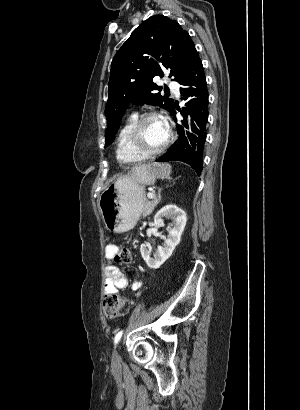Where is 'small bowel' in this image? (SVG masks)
I'll use <instances>...</instances> for the list:
<instances>
[{"instance_id": "c3829d8e", "label": "small bowel", "mask_w": 300, "mask_h": 410, "mask_svg": "<svg viewBox=\"0 0 300 410\" xmlns=\"http://www.w3.org/2000/svg\"><path fill=\"white\" fill-rule=\"evenodd\" d=\"M118 247L116 244H108L105 249V293H117L120 290L127 288L133 291H138L142 284L139 281L134 280L127 274L123 273L114 264V255Z\"/></svg>"}]
</instances>
